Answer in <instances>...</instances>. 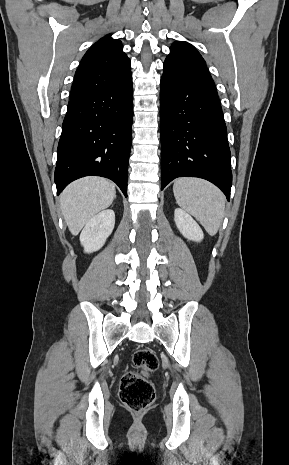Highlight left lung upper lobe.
Instances as JSON below:
<instances>
[{
  "label": "left lung upper lobe",
  "mask_w": 289,
  "mask_h": 465,
  "mask_svg": "<svg viewBox=\"0 0 289 465\" xmlns=\"http://www.w3.org/2000/svg\"><path fill=\"white\" fill-rule=\"evenodd\" d=\"M164 71L211 77L202 56L191 44L184 41L172 44L170 54L164 62Z\"/></svg>",
  "instance_id": "obj_1"
}]
</instances>
